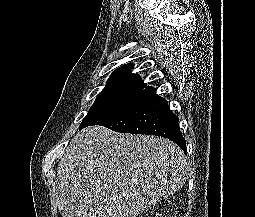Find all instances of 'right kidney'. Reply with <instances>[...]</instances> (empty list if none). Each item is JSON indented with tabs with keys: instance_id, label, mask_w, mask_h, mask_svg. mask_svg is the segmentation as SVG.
<instances>
[{
	"instance_id": "1",
	"label": "right kidney",
	"mask_w": 255,
	"mask_h": 217,
	"mask_svg": "<svg viewBox=\"0 0 255 217\" xmlns=\"http://www.w3.org/2000/svg\"><path fill=\"white\" fill-rule=\"evenodd\" d=\"M156 217H162V215L156 214Z\"/></svg>"
}]
</instances>
